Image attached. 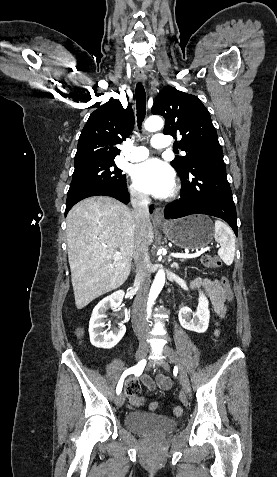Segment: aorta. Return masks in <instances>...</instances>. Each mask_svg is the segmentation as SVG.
Masks as SVG:
<instances>
[{"label": "aorta", "mask_w": 277, "mask_h": 477, "mask_svg": "<svg viewBox=\"0 0 277 477\" xmlns=\"http://www.w3.org/2000/svg\"><path fill=\"white\" fill-rule=\"evenodd\" d=\"M164 125V122L161 117L159 116H151L145 121V129L150 132L160 130ZM165 283V273L163 270H159L155 276L153 281L148 302H147V317L149 318L151 315L152 306L158 297L159 293L161 292Z\"/></svg>", "instance_id": "aorta-1"}]
</instances>
